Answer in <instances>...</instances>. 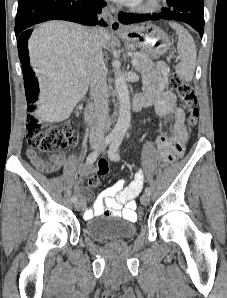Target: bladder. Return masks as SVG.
Segmentation results:
<instances>
[{"label":"bladder","instance_id":"1","mask_svg":"<svg viewBox=\"0 0 227 298\" xmlns=\"http://www.w3.org/2000/svg\"><path fill=\"white\" fill-rule=\"evenodd\" d=\"M85 231L90 239L108 243L133 238L137 232V225L123 218L91 219L87 221Z\"/></svg>","mask_w":227,"mask_h":298}]
</instances>
